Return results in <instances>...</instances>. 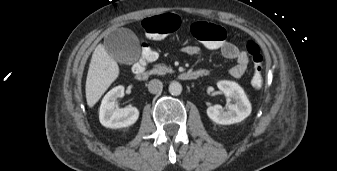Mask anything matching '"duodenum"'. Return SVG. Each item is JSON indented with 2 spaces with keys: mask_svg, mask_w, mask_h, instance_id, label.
I'll use <instances>...</instances> for the list:
<instances>
[{
  "mask_svg": "<svg viewBox=\"0 0 337 171\" xmlns=\"http://www.w3.org/2000/svg\"><path fill=\"white\" fill-rule=\"evenodd\" d=\"M134 73L138 80H145L148 78V72L143 66L136 64L134 66ZM208 74L206 69H199V70H190L181 73L179 76L183 80H196L201 77H205Z\"/></svg>",
  "mask_w": 337,
  "mask_h": 171,
  "instance_id": "obj_1",
  "label": "duodenum"
}]
</instances>
